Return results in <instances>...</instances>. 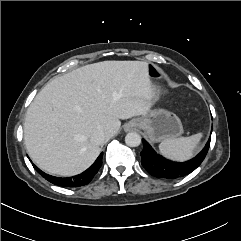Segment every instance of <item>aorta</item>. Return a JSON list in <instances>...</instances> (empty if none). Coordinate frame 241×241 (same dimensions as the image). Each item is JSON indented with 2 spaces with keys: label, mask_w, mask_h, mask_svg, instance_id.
Segmentation results:
<instances>
[{
  "label": "aorta",
  "mask_w": 241,
  "mask_h": 241,
  "mask_svg": "<svg viewBox=\"0 0 241 241\" xmlns=\"http://www.w3.org/2000/svg\"><path fill=\"white\" fill-rule=\"evenodd\" d=\"M125 143L129 147H137L141 144V136L135 132L128 133L125 137Z\"/></svg>",
  "instance_id": "1"
}]
</instances>
